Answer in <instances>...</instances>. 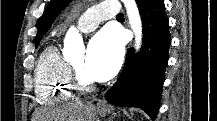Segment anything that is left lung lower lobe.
Instances as JSON below:
<instances>
[{
    "label": "left lung lower lobe",
    "instance_id": "1",
    "mask_svg": "<svg viewBox=\"0 0 217 121\" xmlns=\"http://www.w3.org/2000/svg\"><path fill=\"white\" fill-rule=\"evenodd\" d=\"M136 3L143 25L142 48L139 54L128 50L120 77L105 99L115 106L140 108L154 120L165 81L171 36L163 0H136Z\"/></svg>",
    "mask_w": 217,
    "mask_h": 121
}]
</instances>
